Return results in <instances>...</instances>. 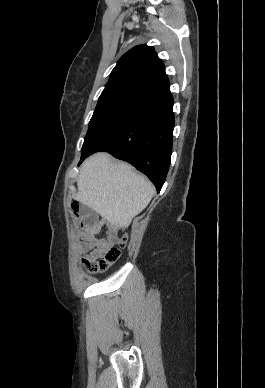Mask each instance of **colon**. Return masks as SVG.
Masks as SVG:
<instances>
[{
	"instance_id": "obj_1",
	"label": "colon",
	"mask_w": 265,
	"mask_h": 388,
	"mask_svg": "<svg viewBox=\"0 0 265 388\" xmlns=\"http://www.w3.org/2000/svg\"><path fill=\"white\" fill-rule=\"evenodd\" d=\"M71 209L74 214H78L79 211V205L77 202H73L71 205ZM125 242V238H123L122 243ZM121 251L120 248L112 247L110 248L103 259L98 261H89L84 260V264L87 268V270L90 273H99L105 271L110 265H112L114 262H116L120 257Z\"/></svg>"
}]
</instances>
